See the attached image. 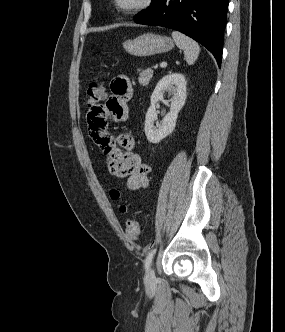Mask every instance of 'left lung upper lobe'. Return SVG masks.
Returning <instances> with one entry per match:
<instances>
[{
    "label": "left lung upper lobe",
    "mask_w": 285,
    "mask_h": 332,
    "mask_svg": "<svg viewBox=\"0 0 285 332\" xmlns=\"http://www.w3.org/2000/svg\"><path fill=\"white\" fill-rule=\"evenodd\" d=\"M160 1H161V0H152L150 8L147 9V10H145V11H143V12H141L140 14H138L136 17H134V19L139 18V17H141V16H143V15L149 13V12L152 11L153 9H155L156 6L159 4Z\"/></svg>",
    "instance_id": "obj_1"
}]
</instances>
